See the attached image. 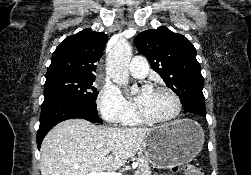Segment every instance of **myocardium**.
<instances>
[{
    "label": "myocardium",
    "instance_id": "obj_1",
    "mask_svg": "<svg viewBox=\"0 0 251 175\" xmlns=\"http://www.w3.org/2000/svg\"><path fill=\"white\" fill-rule=\"evenodd\" d=\"M154 90L166 91V92H169L173 96V98L176 102V105H177L176 115L170 119L162 120V119H158V118L152 117L150 115L144 114L140 110H138L139 117L149 123L157 124V125H161V126H168V125H172V124L179 122L184 114V105H183V101H182V98H181V95L179 94V92L177 90H175L174 88H172L170 86H166V85L158 86V87L154 88Z\"/></svg>",
    "mask_w": 251,
    "mask_h": 175
}]
</instances>
